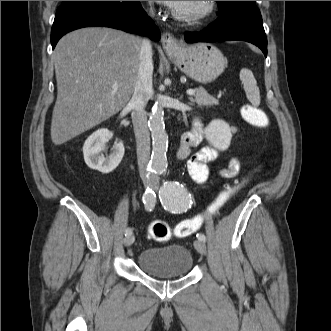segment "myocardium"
<instances>
[{
	"mask_svg": "<svg viewBox=\"0 0 331 331\" xmlns=\"http://www.w3.org/2000/svg\"><path fill=\"white\" fill-rule=\"evenodd\" d=\"M215 7V1H202L200 7L190 13H184L173 9L171 11L172 15L183 22L191 23L199 21L207 16H209Z\"/></svg>",
	"mask_w": 331,
	"mask_h": 331,
	"instance_id": "myocardium-1",
	"label": "myocardium"
}]
</instances>
